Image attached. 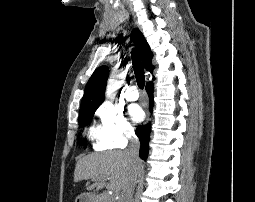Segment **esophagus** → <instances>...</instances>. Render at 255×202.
Wrapping results in <instances>:
<instances>
[{
  "label": "esophagus",
  "instance_id": "esophagus-1",
  "mask_svg": "<svg viewBox=\"0 0 255 202\" xmlns=\"http://www.w3.org/2000/svg\"><path fill=\"white\" fill-rule=\"evenodd\" d=\"M149 120V114H147V120L146 121H148Z\"/></svg>",
  "mask_w": 255,
  "mask_h": 202
}]
</instances>
